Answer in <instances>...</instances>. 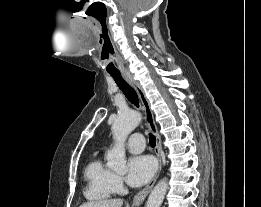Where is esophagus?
<instances>
[{"label":"esophagus","instance_id":"34e87169","mask_svg":"<svg viewBox=\"0 0 261 207\" xmlns=\"http://www.w3.org/2000/svg\"><path fill=\"white\" fill-rule=\"evenodd\" d=\"M125 79L127 80V82L135 89V91L137 92L142 106H143V110L145 113V122H146V126L148 127V129L155 135L156 138V147H157V158H158V162H159V166H158V170L155 174V176L153 177V179L148 183V185L142 189L141 191H139L134 199H133V203L135 205H140L145 198L147 197V195L149 194V192L151 191V189L153 188L159 174L162 168V159H161V153H160V147H161V138L160 135L158 133V129L154 120V115L152 112V109L150 107V103L149 100L146 97V94L143 90V88L140 86V84L130 75L125 74L124 75Z\"/></svg>","mask_w":261,"mask_h":207}]
</instances>
